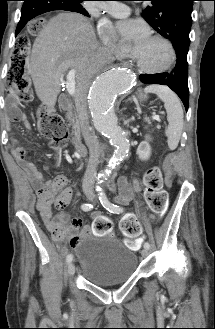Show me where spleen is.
<instances>
[{
    "label": "spleen",
    "mask_w": 215,
    "mask_h": 329,
    "mask_svg": "<svg viewBox=\"0 0 215 329\" xmlns=\"http://www.w3.org/2000/svg\"><path fill=\"white\" fill-rule=\"evenodd\" d=\"M145 93L156 94L164 103L167 112L168 146L171 150L177 148L183 130V109L177 95L166 86L150 85L144 89Z\"/></svg>",
    "instance_id": "3e777b00"
}]
</instances>
